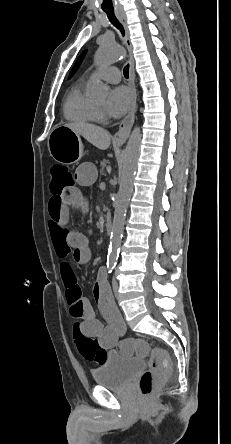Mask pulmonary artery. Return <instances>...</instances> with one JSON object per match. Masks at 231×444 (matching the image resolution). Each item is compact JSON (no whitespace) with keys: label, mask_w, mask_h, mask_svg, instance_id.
Here are the masks:
<instances>
[{"label":"pulmonary artery","mask_w":231,"mask_h":444,"mask_svg":"<svg viewBox=\"0 0 231 444\" xmlns=\"http://www.w3.org/2000/svg\"><path fill=\"white\" fill-rule=\"evenodd\" d=\"M96 76L110 83H117L121 79L120 71L116 67H106L90 75L92 78Z\"/></svg>","instance_id":"1"}]
</instances>
